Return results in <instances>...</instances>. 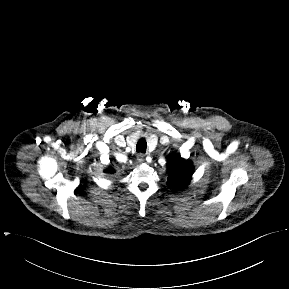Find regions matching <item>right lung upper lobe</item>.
Here are the masks:
<instances>
[{
  "label": "right lung upper lobe",
  "instance_id": "right-lung-upper-lobe-1",
  "mask_svg": "<svg viewBox=\"0 0 289 289\" xmlns=\"http://www.w3.org/2000/svg\"><path fill=\"white\" fill-rule=\"evenodd\" d=\"M107 172H109V173H114V170L110 167V168L107 170Z\"/></svg>",
  "mask_w": 289,
  "mask_h": 289
}]
</instances>
